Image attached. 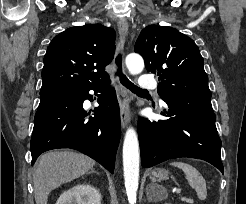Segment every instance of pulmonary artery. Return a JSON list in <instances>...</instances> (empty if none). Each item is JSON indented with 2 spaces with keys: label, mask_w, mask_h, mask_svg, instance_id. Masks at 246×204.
Returning a JSON list of instances; mask_svg holds the SVG:
<instances>
[{
  "label": "pulmonary artery",
  "mask_w": 246,
  "mask_h": 204,
  "mask_svg": "<svg viewBox=\"0 0 246 204\" xmlns=\"http://www.w3.org/2000/svg\"><path fill=\"white\" fill-rule=\"evenodd\" d=\"M139 87L145 90H154L157 87V83L152 76L145 74L140 77Z\"/></svg>",
  "instance_id": "e3ab8cb5"
}]
</instances>
